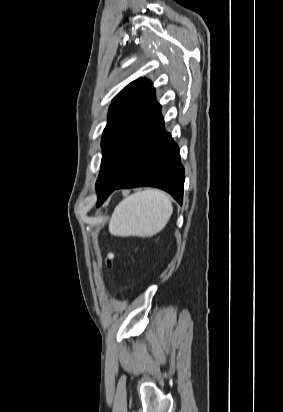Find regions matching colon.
Here are the masks:
<instances>
[{
  "label": "colon",
  "mask_w": 283,
  "mask_h": 412,
  "mask_svg": "<svg viewBox=\"0 0 283 412\" xmlns=\"http://www.w3.org/2000/svg\"><path fill=\"white\" fill-rule=\"evenodd\" d=\"M104 264L106 266V268H111L112 264H113V254L108 252L105 254L104 256Z\"/></svg>",
  "instance_id": "colon-1"
}]
</instances>
